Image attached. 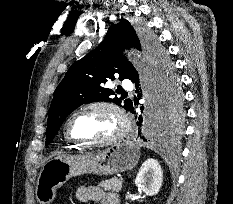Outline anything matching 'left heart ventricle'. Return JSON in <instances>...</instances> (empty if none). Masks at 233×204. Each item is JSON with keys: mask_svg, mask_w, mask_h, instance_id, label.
<instances>
[{"mask_svg": "<svg viewBox=\"0 0 233 204\" xmlns=\"http://www.w3.org/2000/svg\"><path fill=\"white\" fill-rule=\"evenodd\" d=\"M120 128L117 116L107 109H91L77 115L71 123V133L81 139L99 141L114 135Z\"/></svg>", "mask_w": 233, "mask_h": 204, "instance_id": "1", "label": "left heart ventricle"}]
</instances>
